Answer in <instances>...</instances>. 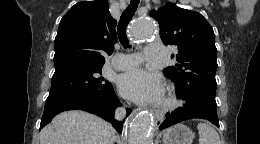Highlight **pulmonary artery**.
<instances>
[{
	"label": "pulmonary artery",
	"mask_w": 260,
	"mask_h": 144,
	"mask_svg": "<svg viewBox=\"0 0 260 144\" xmlns=\"http://www.w3.org/2000/svg\"><path fill=\"white\" fill-rule=\"evenodd\" d=\"M166 55V50L158 44H150L145 48V55L140 53L121 54L118 57L116 66L121 70L133 69L138 66L143 60L148 62L161 61Z\"/></svg>",
	"instance_id": "pulmonary-artery-1"
}]
</instances>
